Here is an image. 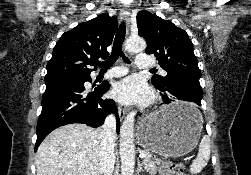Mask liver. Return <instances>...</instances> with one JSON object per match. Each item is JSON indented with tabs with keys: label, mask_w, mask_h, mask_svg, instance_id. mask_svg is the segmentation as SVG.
Returning a JSON list of instances; mask_svg holds the SVG:
<instances>
[{
	"label": "liver",
	"mask_w": 251,
	"mask_h": 175,
	"mask_svg": "<svg viewBox=\"0 0 251 175\" xmlns=\"http://www.w3.org/2000/svg\"><path fill=\"white\" fill-rule=\"evenodd\" d=\"M101 145L97 129L69 123L51 131L36 153L37 175H100Z\"/></svg>",
	"instance_id": "liver-1"
}]
</instances>
